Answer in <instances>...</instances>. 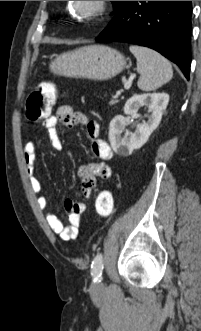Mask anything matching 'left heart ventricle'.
Here are the masks:
<instances>
[{"label": "left heart ventricle", "instance_id": "b2bd125f", "mask_svg": "<svg viewBox=\"0 0 201 331\" xmlns=\"http://www.w3.org/2000/svg\"><path fill=\"white\" fill-rule=\"evenodd\" d=\"M79 7L83 12H88L93 9L92 1H80Z\"/></svg>", "mask_w": 201, "mask_h": 331}]
</instances>
